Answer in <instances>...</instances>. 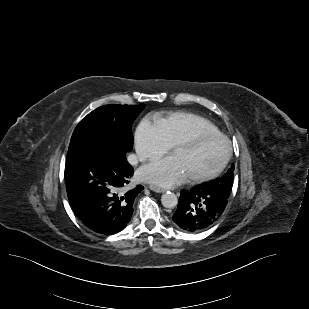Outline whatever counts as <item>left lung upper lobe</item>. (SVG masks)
<instances>
[{
    "mask_svg": "<svg viewBox=\"0 0 309 309\" xmlns=\"http://www.w3.org/2000/svg\"><path fill=\"white\" fill-rule=\"evenodd\" d=\"M233 170L234 165L231 166V168L227 171V173L223 177L215 181L209 182L207 184L217 189H224L230 191L233 185Z\"/></svg>",
    "mask_w": 309,
    "mask_h": 309,
    "instance_id": "5c2ea615",
    "label": "left lung upper lobe"
}]
</instances>
